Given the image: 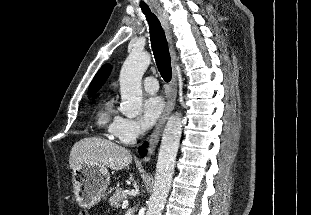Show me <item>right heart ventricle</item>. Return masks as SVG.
<instances>
[{"label":"right heart ventricle","instance_id":"1","mask_svg":"<svg viewBox=\"0 0 311 215\" xmlns=\"http://www.w3.org/2000/svg\"><path fill=\"white\" fill-rule=\"evenodd\" d=\"M121 117L117 114L113 107V101L109 100L103 104L97 115V124L100 128L112 134L113 128Z\"/></svg>","mask_w":311,"mask_h":215}]
</instances>
